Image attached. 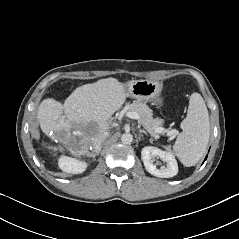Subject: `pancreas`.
<instances>
[{"instance_id": "cf45deb5", "label": "pancreas", "mask_w": 239, "mask_h": 239, "mask_svg": "<svg viewBox=\"0 0 239 239\" xmlns=\"http://www.w3.org/2000/svg\"><path fill=\"white\" fill-rule=\"evenodd\" d=\"M127 110L136 112L140 115L139 123L152 135L156 136V129L163 124L160 118H153L152 110L141 101L126 105Z\"/></svg>"}]
</instances>
